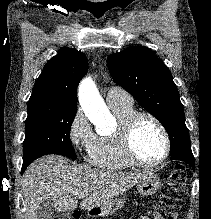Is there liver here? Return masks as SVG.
I'll return each instance as SVG.
<instances>
[{"label":"liver","mask_w":211,"mask_h":219,"mask_svg":"<svg viewBox=\"0 0 211 219\" xmlns=\"http://www.w3.org/2000/svg\"><path fill=\"white\" fill-rule=\"evenodd\" d=\"M150 173L147 170L129 173L72 166L61 156H44L26 169L22 179L27 219H38V208L45 200L52 201L57 212L75 210L78 193L86 194L80 209L100 207Z\"/></svg>","instance_id":"1"}]
</instances>
